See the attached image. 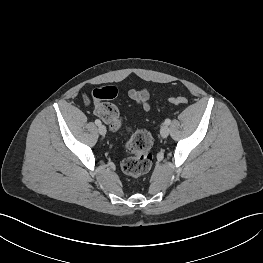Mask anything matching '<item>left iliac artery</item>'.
<instances>
[{
	"label": "left iliac artery",
	"instance_id": "obj_1",
	"mask_svg": "<svg viewBox=\"0 0 263 263\" xmlns=\"http://www.w3.org/2000/svg\"><path fill=\"white\" fill-rule=\"evenodd\" d=\"M170 123H171V120H170V119H166V120H165V124H166V125H169Z\"/></svg>",
	"mask_w": 263,
	"mask_h": 263
}]
</instances>
